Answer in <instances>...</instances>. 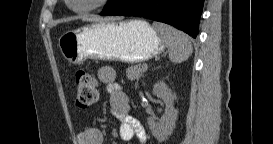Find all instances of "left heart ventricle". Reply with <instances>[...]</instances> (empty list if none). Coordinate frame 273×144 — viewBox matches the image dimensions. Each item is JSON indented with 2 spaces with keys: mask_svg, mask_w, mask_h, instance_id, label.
I'll use <instances>...</instances> for the list:
<instances>
[{
  "mask_svg": "<svg viewBox=\"0 0 273 144\" xmlns=\"http://www.w3.org/2000/svg\"><path fill=\"white\" fill-rule=\"evenodd\" d=\"M94 0H71L72 4L77 7V8H81V7H85L90 5Z\"/></svg>",
  "mask_w": 273,
  "mask_h": 144,
  "instance_id": "b2bd125f",
  "label": "left heart ventricle"
}]
</instances>
